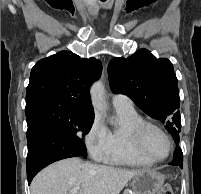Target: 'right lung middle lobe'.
<instances>
[{
	"label": "right lung middle lobe",
	"instance_id": "dd1d6c3e",
	"mask_svg": "<svg viewBox=\"0 0 201 194\" xmlns=\"http://www.w3.org/2000/svg\"><path fill=\"white\" fill-rule=\"evenodd\" d=\"M25 114L28 125L44 120L80 139L90 131L94 119V115L78 112L69 104L55 99H41L26 104ZM81 156L86 158L87 152L83 150Z\"/></svg>",
	"mask_w": 201,
	"mask_h": 194
}]
</instances>
